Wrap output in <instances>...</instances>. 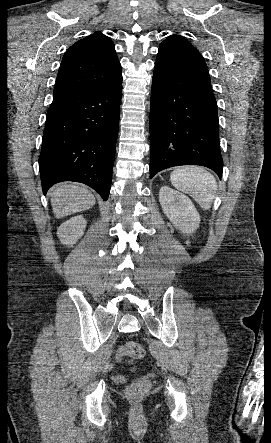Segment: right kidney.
<instances>
[{
  "mask_svg": "<svg viewBox=\"0 0 271 443\" xmlns=\"http://www.w3.org/2000/svg\"><path fill=\"white\" fill-rule=\"evenodd\" d=\"M86 223L87 222L84 220L83 216H75V218H70L67 222L61 223L57 231L60 241L66 243V245L76 243L77 239L82 237Z\"/></svg>",
  "mask_w": 271,
  "mask_h": 443,
  "instance_id": "obj_1",
  "label": "right kidney"
}]
</instances>
